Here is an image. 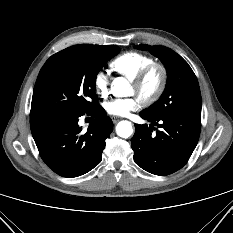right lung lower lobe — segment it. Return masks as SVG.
<instances>
[{"label":"right lung lower lobe","mask_w":233,"mask_h":233,"mask_svg":"<svg viewBox=\"0 0 233 233\" xmlns=\"http://www.w3.org/2000/svg\"><path fill=\"white\" fill-rule=\"evenodd\" d=\"M95 120L86 132L78 125L79 113H56L30 118V127L41 158L63 177L81 176L102 160L105 140L113 130L99 103L86 112Z\"/></svg>","instance_id":"98d812e1"}]
</instances>
